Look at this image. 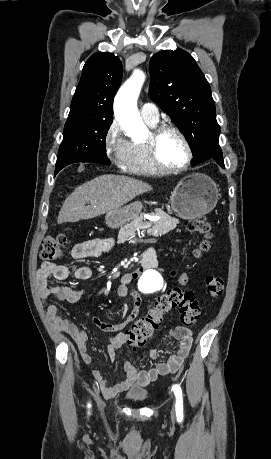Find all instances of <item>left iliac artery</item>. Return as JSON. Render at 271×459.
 <instances>
[{
  "label": "left iliac artery",
  "instance_id": "left-iliac-artery-1",
  "mask_svg": "<svg viewBox=\"0 0 271 459\" xmlns=\"http://www.w3.org/2000/svg\"><path fill=\"white\" fill-rule=\"evenodd\" d=\"M172 390L176 396V415L183 418V398L181 387L177 384L173 385Z\"/></svg>",
  "mask_w": 271,
  "mask_h": 459
}]
</instances>
